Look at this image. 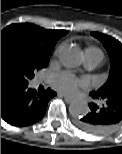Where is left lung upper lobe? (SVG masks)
I'll list each match as a JSON object with an SVG mask.
<instances>
[{"label": "left lung upper lobe", "mask_w": 122, "mask_h": 154, "mask_svg": "<svg viewBox=\"0 0 122 154\" xmlns=\"http://www.w3.org/2000/svg\"><path fill=\"white\" fill-rule=\"evenodd\" d=\"M92 36L98 38L108 51L111 69L106 83L94 91L107 96L115 94L122 97V44L115 38L102 33L93 32Z\"/></svg>", "instance_id": "1"}]
</instances>
